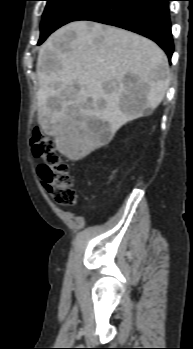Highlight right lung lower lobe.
Returning <instances> with one entry per match:
<instances>
[{
    "instance_id": "right-lung-lower-lobe-1",
    "label": "right lung lower lobe",
    "mask_w": 193,
    "mask_h": 349,
    "mask_svg": "<svg viewBox=\"0 0 193 349\" xmlns=\"http://www.w3.org/2000/svg\"><path fill=\"white\" fill-rule=\"evenodd\" d=\"M168 1L97 0L73 21L90 20L141 34L155 41L171 61L174 45Z\"/></svg>"
}]
</instances>
